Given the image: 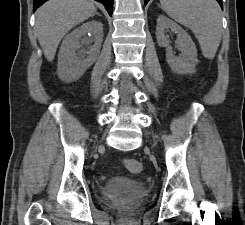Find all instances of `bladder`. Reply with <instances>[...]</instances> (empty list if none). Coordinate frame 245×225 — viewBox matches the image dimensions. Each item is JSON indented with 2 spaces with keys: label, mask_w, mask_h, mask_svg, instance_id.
<instances>
[{
  "label": "bladder",
  "mask_w": 245,
  "mask_h": 225,
  "mask_svg": "<svg viewBox=\"0 0 245 225\" xmlns=\"http://www.w3.org/2000/svg\"><path fill=\"white\" fill-rule=\"evenodd\" d=\"M146 191L147 185L144 182L123 178H113L105 182L103 190L100 193V197L105 200L132 195L138 196L146 193Z\"/></svg>",
  "instance_id": "31cf9c89"
}]
</instances>
